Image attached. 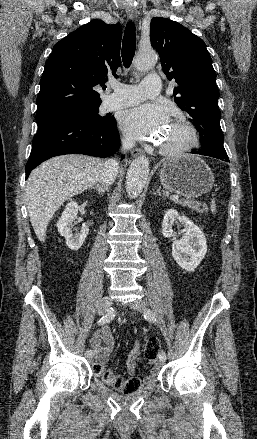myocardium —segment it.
<instances>
[{
  "mask_svg": "<svg viewBox=\"0 0 257 439\" xmlns=\"http://www.w3.org/2000/svg\"><path fill=\"white\" fill-rule=\"evenodd\" d=\"M172 125L184 128L188 134V141L187 143L176 147H167L162 145L159 147L161 154L167 157H178L197 148L199 144L198 133L196 128L189 121L184 119H176L172 122Z\"/></svg>",
  "mask_w": 257,
  "mask_h": 439,
  "instance_id": "obj_1",
  "label": "myocardium"
}]
</instances>
